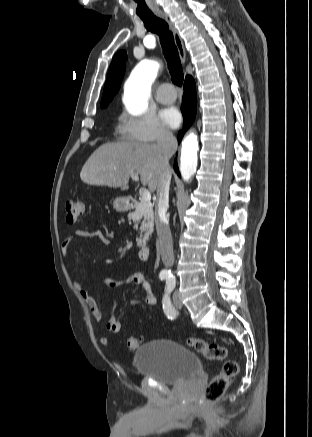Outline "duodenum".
Here are the masks:
<instances>
[{
    "label": "duodenum",
    "mask_w": 312,
    "mask_h": 437,
    "mask_svg": "<svg viewBox=\"0 0 312 437\" xmlns=\"http://www.w3.org/2000/svg\"><path fill=\"white\" fill-rule=\"evenodd\" d=\"M125 203L128 207H132L135 205L136 201L132 197H126ZM151 255V247L149 245L143 244L138 248V258L140 261H147Z\"/></svg>",
    "instance_id": "410a0bca"
}]
</instances>
